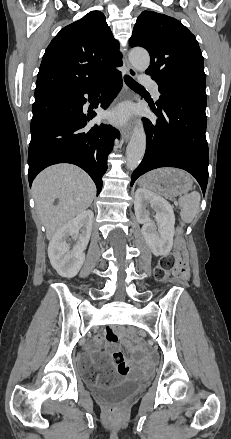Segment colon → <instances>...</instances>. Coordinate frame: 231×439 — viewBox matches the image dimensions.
Here are the masks:
<instances>
[{"label": "colon", "instance_id": "obj_1", "mask_svg": "<svg viewBox=\"0 0 231 439\" xmlns=\"http://www.w3.org/2000/svg\"><path fill=\"white\" fill-rule=\"evenodd\" d=\"M183 234L184 230L183 226L181 225L176 231L174 252L165 255L160 260L156 272L159 279H165L171 272H173L180 279H186L188 277L187 253L184 247ZM126 332L130 335H134L133 329H126ZM128 371L129 367L126 364H121L111 372V376H106L100 379V382L103 384H111L117 380V377L113 374L117 373L119 376H124L128 373Z\"/></svg>", "mask_w": 231, "mask_h": 439}]
</instances>
